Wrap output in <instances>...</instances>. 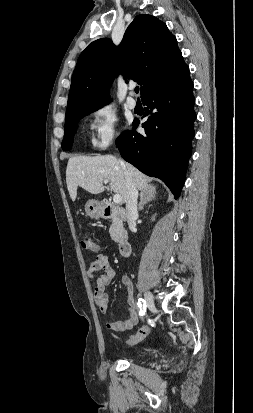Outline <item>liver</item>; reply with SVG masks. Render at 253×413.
<instances>
[{
	"label": "liver",
	"mask_w": 253,
	"mask_h": 413,
	"mask_svg": "<svg viewBox=\"0 0 253 413\" xmlns=\"http://www.w3.org/2000/svg\"><path fill=\"white\" fill-rule=\"evenodd\" d=\"M129 177L136 189L142 192H156V187L133 165L124 163ZM107 180L111 190L120 194L122 202H126L128 194L127 178L121 161L112 155L76 156L68 160L66 183L72 201L77 197L78 186L91 194L104 191L103 182Z\"/></svg>",
	"instance_id": "liver-1"
}]
</instances>
